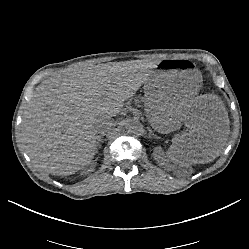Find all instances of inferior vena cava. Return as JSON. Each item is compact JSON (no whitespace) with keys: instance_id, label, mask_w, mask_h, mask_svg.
Wrapping results in <instances>:
<instances>
[{"instance_id":"inferior-vena-cava-1","label":"inferior vena cava","mask_w":249,"mask_h":249,"mask_svg":"<svg viewBox=\"0 0 249 249\" xmlns=\"http://www.w3.org/2000/svg\"><path fill=\"white\" fill-rule=\"evenodd\" d=\"M113 125V121L107 115L99 117L95 122L97 132H107Z\"/></svg>"}]
</instances>
